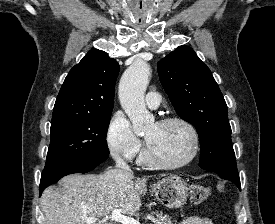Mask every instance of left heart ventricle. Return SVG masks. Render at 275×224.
Segmentation results:
<instances>
[{
  "instance_id": "b2bd125f",
  "label": "left heart ventricle",
  "mask_w": 275,
  "mask_h": 224,
  "mask_svg": "<svg viewBox=\"0 0 275 224\" xmlns=\"http://www.w3.org/2000/svg\"><path fill=\"white\" fill-rule=\"evenodd\" d=\"M153 156L160 162L176 164L187 159L192 150V138L180 123L153 124L145 133Z\"/></svg>"
}]
</instances>
